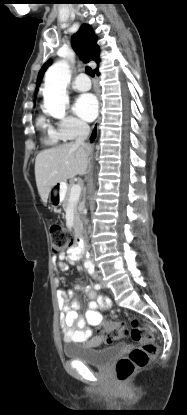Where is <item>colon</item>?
Listing matches in <instances>:
<instances>
[{
    "instance_id": "5ec220e1",
    "label": "colon",
    "mask_w": 187,
    "mask_h": 415,
    "mask_svg": "<svg viewBox=\"0 0 187 415\" xmlns=\"http://www.w3.org/2000/svg\"><path fill=\"white\" fill-rule=\"evenodd\" d=\"M52 251L55 255H61L73 244V235L62 225L54 223L49 229ZM108 340L117 339L129 334L131 338L140 343L127 356L121 357L115 366L116 378L120 382H126L137 369L146 367L151 358L158 352L154 334L151 328L144 326L136 318L131 321V330L127 331L120 322L102 323L98 327Z\"/></svg>"
}]
</instances>
